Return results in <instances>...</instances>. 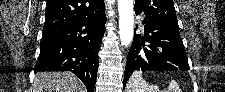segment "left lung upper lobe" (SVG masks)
Instances as JSON below:
<instances>
[{
	"label": "left lung upper lobe",
	"mask_w": 225,
	"mask_h": 92,
	"mask_svg": "<svg viewBox=\"0 0 225 92\" xmlns=\"http://www.w3.org/2000/svg\"><path fill=\"white\" fill-rule=\"evenodd\" d=\"M135 12H144L147 20L165 23L179 29L173 0H135Z\"/></svg>",
	"instance_id": "left-lung-upper-lobe-1"
}]
</instances>
